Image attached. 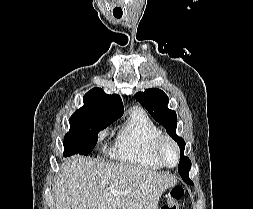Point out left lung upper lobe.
Returning <instances> with one entry per match:
<instances>
[{"label":"left lung upper lobe","instance_id":"1","mask_svg":"<svg viewBox=\"0 0 253 209\" xmlns=\"http://www.w3.org/2000/svg\"><path fill=\"white\" fill-rule=\"evenodd\" d=\"M135 97L147 109L150 115L167 130L169 135L172 136L181 148L178 172L186 183L190 182L191 180L188 175L191 161L188 157L184 156V139L176 135L177 116L174 110H170L167 107L169 102L168 96L160 89L150 88L144 92L136 93Z\"/></svg>","mask_w":253,"mask_h":209}]
</instances>
